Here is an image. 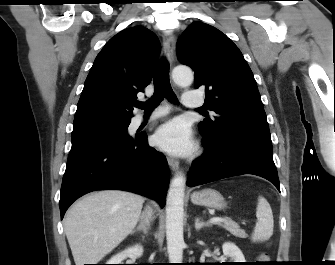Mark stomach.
I'll return each instance as SVG.
<instances>
[{"instance_id": "1", "label": "stomach", "mask_w": 335, "mask_h": 265, "mask_svg": "<svg viewBox=\"0 0 335 265\" xmlns=\"http://www.w3.org/2000/svg\"><path fill=\"white\" fill-rule=\"evenodd\" d=\"M191 202L195 205L206 206L209 208L223 209L226 204L223 196L212 189H206L191 194Z\"/></svg>"}]
</instances>
